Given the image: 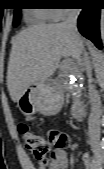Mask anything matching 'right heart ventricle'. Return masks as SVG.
Instances as JSON below:
<instances>
[{"label":"right heart ventricle","instance_id":"obj_1","mask_svg":"<svg viewBox=\"0 0 104 169\" xmlns=\"http://www.w3.org/2000/svg\"><path fill=\"white\" fill-rule=\"evenodd\" d=\"M31 15L39 23H46L54 20V12L49 8H37L32 10Z\"/></svg>","mask_w":104,"mask_h":169}]
</instances>
